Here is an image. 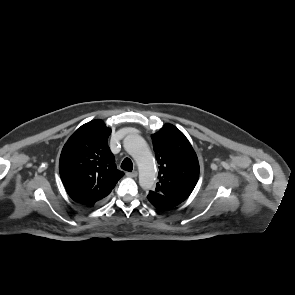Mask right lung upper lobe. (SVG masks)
Here are the masks:
<instances>
[{
  "label": "right lung upper lobe",
  "instance_id": "1",
  "mask_svg": "<svg viewBox=\"0 0 295 295\" xmlns=\"http://www.w3.org/2000/svg\"><path fill=\"white\" fill-rule=\"evenodd\" d=\"M110 134L102 120H93L78 128L64 145L59 172L75 202L93 206L109 195L124 175L107 144Z\"/></svg>",
  "mask_w": 295,
  "mask_h": 295
}]
</instances>
